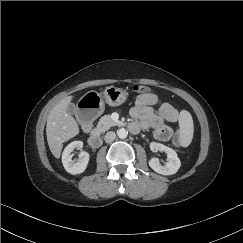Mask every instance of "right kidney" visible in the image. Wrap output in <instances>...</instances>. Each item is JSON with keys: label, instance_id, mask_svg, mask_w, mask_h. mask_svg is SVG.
I'll return each mask as SVG.
<instances>
[{"label": "right kidney", "instance_id": "obj_1", "mask_svg": "<svg viewBox=\"0 0 243 243\" xmlns=\"http://www.w3.org/2000/svg\"><path fill=\"white\" fill-rule=\"evenodd\" d=\"M82 147H83L82 141H73L70 144H68L67 147L63 151L62 163H63L65 170L70 174L76 175V174L83 173L87 168V165L89 163V154L87 152L82 151L79 154L78 161L74 162L72 160L71 152L74 149L81 150Z\"/></svg>", "mask_w": 243, "mask_h": 243}]
</instances>
